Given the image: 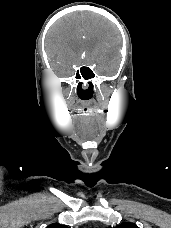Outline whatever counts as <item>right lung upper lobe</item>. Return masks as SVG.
<instances>
[{"instance_id":"right-lung-upper-lobe-1","label":"right lung upper lobe","mask_w":171,"mask_h":228,"mask_svg":"<svg viewBox=\"0 0 171 228\" xmlns=\"http://www.w3.org/2000/svg\"><path fill=\"white\" fill-rule=\"evenodd\" d=\"M46 228H68V227L65 225H60V224L54 223V224L47 226Z\"/></svg>"}]
</instances>
